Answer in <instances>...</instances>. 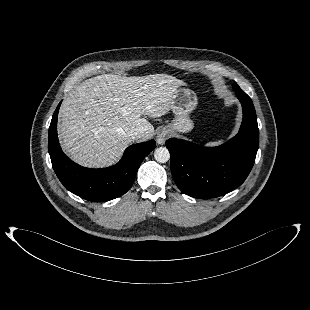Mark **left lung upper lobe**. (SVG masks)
I'll return each instance as SVG.
<instances>
[{
  "mask_svg": "<svg viewBox=\"0 0 310 310\" xmlns=\"http://www.w3.org/2000/svg\"><path fill=\"white\" fill-rule=\"evenodd\" d=\"M233 88H234V90H236V89H238V88H240L237 84H233Z\"/></svg>",
  "mask_w": 310,
  "mask_h": 310,
  "instance_id": "1",
  "label": "left lung upper lobe"
}]
</instances>
